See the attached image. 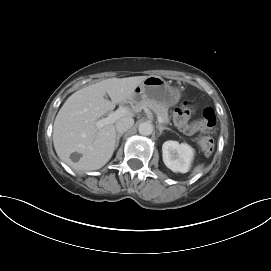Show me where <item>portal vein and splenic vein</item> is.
Returning <instances> with one entry per match:
<instances>
[{
    "mask_svg": "<svg viewBox=\"0 0 271 271\" xmlns=\"http://www.w3.org/2000/svg\"><path fill=\"white\" fill-rule=\"evenodd\" d=\"M127 112H128V110L126 108H119L115 112L109 113V115L106 118H102V119L98 120L95 123V125H96L97 129H101L102 127H104L108 124L114 123L120 117L125 115ZM158 122L163 123V120L160 116H158Z\"/></svg>",
    "mask_w": 271,
    "mask_h": 271,
    "instance_id": "18ae733b",
    "label": "portal vein and splenic vein"
}]
</instances>
